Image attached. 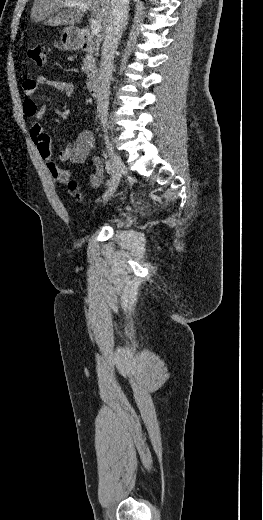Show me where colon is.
Masks as SVG:
<instances>
[{
	"label": "colon",
	"instance_id": "colon-1",
	"mask_svg": "<svg viewBox=\"0 0 263 520\" xmlns=\"http://www.w3.org/2000/svg\"><path fill=\"white\" fill-rule=\"evenodd\" d=\"M47 45L44 43H37L32 48L27 50L28 58L38 66H42L46 62ZM69 190L74 194L77 200L81 199L80 194L77 191V183L73 180L67 184Z\"/></svg>",
	"mask_w": 263,
	"mask_h": 520
}]
</instances>
